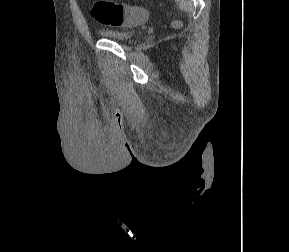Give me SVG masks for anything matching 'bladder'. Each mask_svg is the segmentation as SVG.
I'll return each instance as SVG.
<instances>
[{
  "instance_id": "bladder-1",
  "label": "bladder",
  "mask_w": 289,
  "mask_h": 252,
  "mask_svg": "<svg viewBox=\"0 0 289 252\" xmlns=\"http://www.w3.org/2000/svg\"><path fill=\"white\" fill-rule=\"evenodd\" d=\"M99 34L103 38L114 40L120 43H129L137 35L135 31H114V30H101Z\"/></svg>"
}]
</instances>
